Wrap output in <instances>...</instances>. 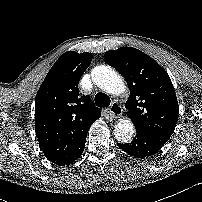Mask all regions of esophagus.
I'll use <instances>...</instances> for the list:
<instances>
[{
	"label": "esophagus",
	"instance_id": "34e87169",
	"mask_svg": "<svg viewBox=\"0 0 202 202\" xmlns=\"http://www.w3.org/2000/svg\"><path fill=\"white\" fill-rule=\"evenodd\" d=\"M108 110L112 114V116L115 117L116 115L119 116L121 114L122 107L117 101H114L111 103ZM115 118H117V117H115Z\"/></svg>",
	"mask_w": 202,
	"mask_h": 202
}]
</instances>
